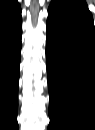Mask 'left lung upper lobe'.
Returning a JSON list of instances; mask_svg holds the SVG:
<instances>
[{"label": "left lung upper lobe", "instance_id": "5c2ea615", "mask_svg": "<svg viewBox=\"0 0 95 130\" xmlns=\"http://www.w3.org/2000/svg\"><path fill=\"white\" fill-rule=\"evenodd\" d=\"M49 11L61 13H80L85 15L90 14L87 7L82 5V3L70 0L53 1L50 5Z\"/></svg>", "mask_w": 95, "mask_h": 130}]
</instances>
